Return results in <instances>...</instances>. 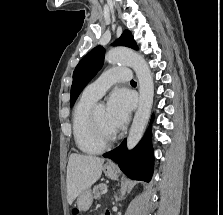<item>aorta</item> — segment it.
<instances>
[{
    "instance_id": "aorta-1",
    "label": "aorta",
    "mask_w": 223,
    "mask_h": 215,
    "mask_svg": "<svg viewBox=\"0 0 223 215\" xmlns=\"http://www.w3.org/2000/svg\"><path fill=\"white\" fill-rule=\"evenodd\" d=\"M105 62L130 66L136 72L138 78L139 106L127 137V147L132 149L141 139L150 117L154 98L153 76L146 60H144V56H140V54L133 52V50H128V48L109 50L105 56Z\"/></svg>"
}]
</instances>
